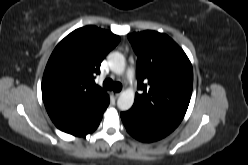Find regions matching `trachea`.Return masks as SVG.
Wrapping results in <instances>:
<instances>
[{"label":"trachea","instance_id":"3493384b","mask_svg":"<svg viewBox=\"0 0 248 165\" xmlns=\"http://www.w3.org/2000/svg\"><path fill=\"white\" fill-rule=\"evenodd\" d=\"M103 86L108 90H113L114 92H120L122 90V85L119 82H113L111 79H106L103 82Z\"/></svg>","mask_w":248,"mask_h":165}]
</instances>
